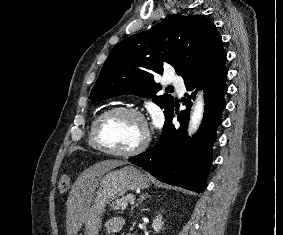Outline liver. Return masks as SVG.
I'll list each match as a JSON object with an SVG mask.
<instances>
[{"instance_id": "liver-1", "label": "liver", "mask_w": 283, "mask_h": 235, "mask_svg": "<svg viewBox=\"0 0 283 235\" xmlns=\"http://www.w3.org/2000/svg\"><path fill=\"white\" fill-rule=\"evenodd\" d=\"M120 160H106L87 168L78 176L67 200L66 225L68 235H76L85 220L99 180L109 170L124 165Z\"/></svg>"}]
</instances>
